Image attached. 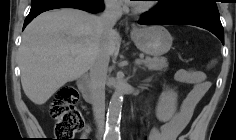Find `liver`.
<instances>
[{"label": "liver", "mask_w": 236, "mask_h": 140, "mask_svg": "<svg viewBox=\"0 0 236 140\" xmlns=\"http://www.w3.org/2000/svg\"><path fill=\"white\" fill-rule=\"evenodd\" d=\"M120 43L116 31L104 38L96 15L71 8L44 12L22 35V88L33 103L43 105L67 82L88 72L101 50L112 55Z\"/></svg>", "instance_id": "6515ba94"}]
</instances>
